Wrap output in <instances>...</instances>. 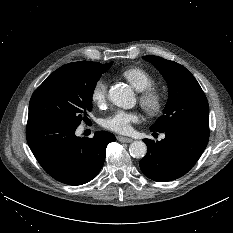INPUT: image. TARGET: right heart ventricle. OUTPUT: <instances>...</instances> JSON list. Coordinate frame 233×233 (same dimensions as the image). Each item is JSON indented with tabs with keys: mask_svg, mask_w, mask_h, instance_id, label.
Wrapping results in <instances>:
<instances>
[{
	"mask_svg": "<svg viewBox=\"0 0 233 233\" xmlns=\"http://www.w3.org/2000/svg\"><path fill=\"white\" fill-rule=\"evenodd\" d=\"M122 76L138 91L147 90L154 85L153 77L142 68H128L122 72Z\"/></svg>",
	"mask_w": 233,
	"mask_h": 233,
	"instance_id": "right-heart-ventricle-1",
	"label": "right heart ventricle"
}]
</instances>
